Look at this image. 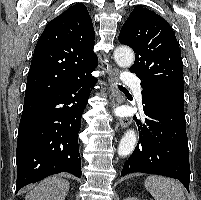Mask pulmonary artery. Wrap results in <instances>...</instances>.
I'll list each match as a JSON object with an SVG mask.
<instances>
[{"instance_id":"e3ab8cb5","label":"pulmonary artery","mask_w":201,"mask_h":200,"mask_svg":"<svg viewBox=\"0 0 201 200\" xmlns=\"http://www.w3.org/2000/svg\"><path fill=\"white\" fill-rule=\"evenodd\" d=\"M121 80L122 82L125 84V85H129V86H132V87H136L138 89L137 91V98L139 100H141V92H140V79L138 76H136L135 74L133 73H130V72H126L122 75L121 77Z\"/></svg>"}]
</instances>
